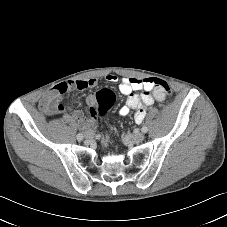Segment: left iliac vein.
<instances>
[{"label":"left iliac vein","instance_id":"1","mask_svg":"<svg viewBox=\"0 0 227 227\" xmlns=\"http://www.w3.org/2000/svg\"><path fill=\"white\" fill-rule=\"evenodd\" d=\"M144 138H145V135L143 133H136L133 135L126 136L125 140L133 143H140L144 140Z\"/></svg>","mask_w":227,"mask_h":227}]
</instances>
